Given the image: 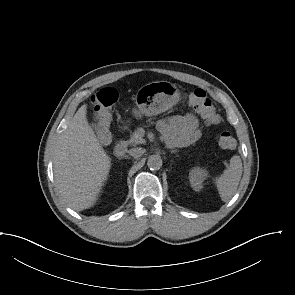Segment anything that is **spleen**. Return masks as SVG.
Instances as JSON below:
<instances>
[{"mask_svg": "<svg viewBox=\"0 0 295 295\" xmlns=\"http://www.w3.org/2000/svg\"><path fill=\"white\" fill-rule=\"evenodd\" d=\"M242 176V161L237 155L230 159V164L223 174L216 178L215 183L222 201H229L236 193Z\"/></svg>", "mask_w": 295, "mask_h": 295, "instance_id": "3e777b00", "label": "spleen"}]
</instances>
